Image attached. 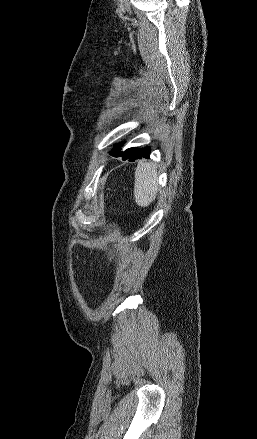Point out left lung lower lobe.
Instances as JSON below:
<instances>
[{
	"instance_id": "1",
	"label": "left lung lower lobe",
	"mask_w": 257,
	"mask_h": 439,
	"mask_svg": "<svg viewBox=\"0 0 257 439\" xmlns=\"http://www.w3.org/2000/svg\"><path fill=\"white\" fill-rule=\"evenodd\" d=\"M150 152H151L150 147L135 148L130 154H128L127 156H123L122 159L133 162L136 159H140L142 157H144V158L149 157Z\"/></svg>"
}]
</instances>
